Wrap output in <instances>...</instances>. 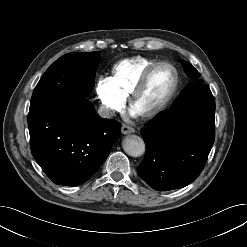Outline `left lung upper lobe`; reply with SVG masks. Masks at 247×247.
<instances>
[{"mask_svg":"<svg viewBox=\"0 0 247 247\" xmlns=\"http://www.w3.org/2000/svg\"><path fill=\"white\" fill-rule=\"evenodd\" d=\"M182 65L184 68L185 73L195 81L190 83L189 85L186 86V88L180 93L176 101L182 99L186 95H188L190 92L198 88L200 85H202V80H198L200 77L199 72L194 68L189 62L187 61H182ZM175 101V102H176Z\"/></svg>","mask_w":247,"mask_h":247,"instance_id":"obj_1","label":"left lung upper lobe"}]
</instances>
